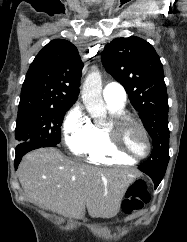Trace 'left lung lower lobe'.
Returning a JSON list of instances; mask_svg holds the SVG:
<instances>
[{"instance_id":"1","label":"left lung lower lobe","mask_w":187,"mask_h":242,"mask_svg":"<svg viewBox=\"0 0 187 242\" xmlns=\"http://www.w3.org/2000/svg\"><path fill=\"white\" fill-rule=\"evenodd\" d=\"M138 168L152 178L156 189L160 184V182L162 181L165 171L151 170V169H146L142 167H138Z\"/></svg>"}]
</instances>
